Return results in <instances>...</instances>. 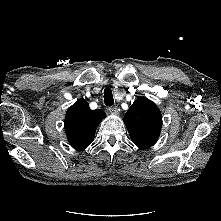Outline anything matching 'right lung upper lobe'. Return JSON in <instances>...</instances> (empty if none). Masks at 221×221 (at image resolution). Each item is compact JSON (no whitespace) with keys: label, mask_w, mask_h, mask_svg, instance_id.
Returning <instances> with one entry per match:
<instances>
[{"label":"right lung upper lobe","mask_w":221,"mask_h":221,"mask_svg":"<svg viewBox=\"0 0 221 221\" xmlns=\"http://www.w3.org/2000/svg\"><path fill=\"white\" fill-rule=\"evenodd\" d=\"M106 117L102 110H91L86 100L80 99L68 108L65 130L73 148L82 151L94 140L95 131Z\"/></svg>","instance_id":"cb5924a9"}]
</instances>
